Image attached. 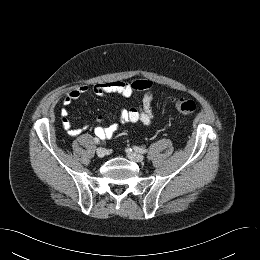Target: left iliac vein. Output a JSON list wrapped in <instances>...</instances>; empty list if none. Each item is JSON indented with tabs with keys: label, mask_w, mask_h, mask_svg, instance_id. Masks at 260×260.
I'll return each mask as SVG.
<instances>
[{
	"label": "left iliac vein",
	"mask_w": 260,
	"mask_h": 260,
	"mask_svg": "<svg viewBox=\"0 0 260 260\" xmlns=\"http://www.w3.org/2000/svg\"><path fill=\"white\" fill-rule=\"evenodd\" d=\"M127 156L134 162H142L144 160V156L142 154L131 152L129 150H127Z\"/></svg>",
	"instance_id": "4c4485c4"
}]
</instances>
